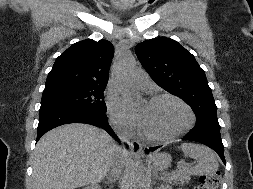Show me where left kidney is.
Wrapping results in <instances>:
<instances>
[{
	"instance_id": "1",
	"label": "left kidney",
	"mask_w": 253,
	"mask_h": 189,
	"mask_svg": "<svg viewBox=\"0 0 253 189\" xmlns=\"http://www.w3.org/2000/svg\"><path fill=\"white\" fill-rule=\"evenodd\" d=\"M158 189H172V188L168 185H162V186L158 187ZM179 189H182V188H179Z\"/></svg>"
}]
</instances>
